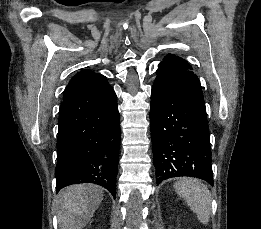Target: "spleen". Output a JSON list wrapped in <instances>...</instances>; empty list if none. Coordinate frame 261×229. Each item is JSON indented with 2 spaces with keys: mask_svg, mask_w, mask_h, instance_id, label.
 I'll return each mask as SVG.
<instances>
[{
  "mask_svg": "<svg viewBox=\"0 0 261 229\" xmlns=\"http://www.w3.org/2000/svg\"><path fill=\"white\" fill-rule=\"evenodd\" d=\"M177 195L186 201L193 213H196L198 221L207 225L211 215V195L206 185L199 179L182 177L173 185Z\"/></svg>",
  "mask_w": 261,
  "mask_h": 229,
  "instance_id": "spleen-1",
  "label": "spleen"
}]
</instances>
